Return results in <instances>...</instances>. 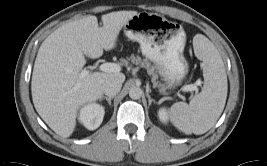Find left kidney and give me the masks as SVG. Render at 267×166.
<instances>
[{
  "label": "left kidney",
  "instance_id": "1",
  "mask_svg": "<svg viewBox=\"0 0 267 166\" xmlns=\"http://www.w3.org/2000/svg\"><path fill=\"white\" fill-rule=\"evenodd\" d=\"M158 116H159V119H160L161 122L167 123V112H166V109H164V108L159 109Z\"/></svg>",
  "mask_w": 267,
  "mask_h": 166
}]
</instances>
